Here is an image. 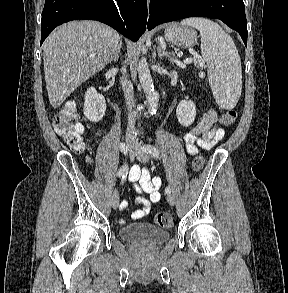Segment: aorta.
Returning <instances> with one entry per match:
<instances>
[{"mask_svg":"<svg viewBox=\"0 0 288 293\" xmlns=\"http://www.w3.org/2000/svg\"><path fill=\"white\" fill-rule=\"evenodd\" d=\"M138 74L141 86L146 94L149 111L153 114L156 112L159 101V94L154 89L152 77L146 58L142 57L138 64Z\"/></svg>","mask_w":288,"mask_h":293,"instance_id":"aorta-1","label":"aorta"}]
</instances>
